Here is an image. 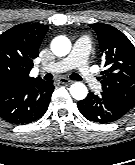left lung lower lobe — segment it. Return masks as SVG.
<instances>
[{"instance_id": "left-lung-lower-lobe-1", "label": "left lung lower lobe", "mask_w": 135, "mask_h": 165, "mask_svg": "<svg viewBox=\"0 0 135 165\" xmlns=\"http://www.w3.org/2000/svg\"><path fill=\"white\" fill-rule=\"evenodd\" d=\"M81 114L88 120L99 123H111L122 118L128 111L116 101L101 93H89L87 97L77 103Z\"/></svg>"}]
</instances>
